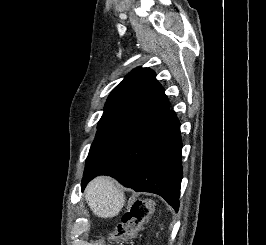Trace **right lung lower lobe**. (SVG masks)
I'll return each instance as SVG.
<instances>
[{
  "mask_svg": "<svg viewBox=\"0 0 266 245\" xmlns=\"http://www.w3.org/2000/svg\"><path fill=\"white\" fill-rule=\"evenodd\" d=\"M180 123L172 110L144 121L84 171L82 190L95 176L110 175L137 192L163 197L179 208L182 180Z\"/></svg>",
  "mask_w": 266,
  "mask_h": 245,
  "instance_id": "1",
  "label": "right lung lower lobe"
}]
</instances>
